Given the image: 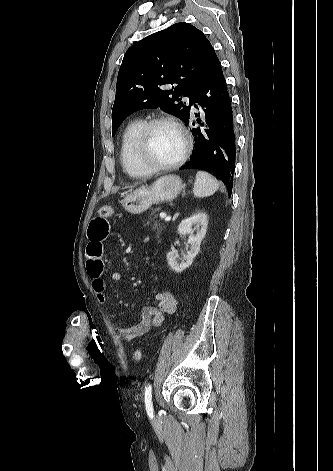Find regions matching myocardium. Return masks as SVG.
Instances as JSON below:
<instances>
[{
    "instance_id": "myocardium-1",
    "label": "myocardium",
    "mask_w": 333,
    "mask_h": 471,
    "mask_svg": "<svg viewBox=\"0 0 333 471\" xmlns=\"http://www.w3.org/2000/svg\"><path fill=\"white\" fill-rule=\"evenodd\" d=\"M160 124L173 126L182 139V151L180 155L172 162L167 164L154 163L149 157V139L151 131ZM192 147L191 138L185 127L176 119L169 116H159L146 121L136 140L135 157L137 163L146 171L151 173L170 171L181 166L188 158Z\"/></svg>"
}]
</instances>
